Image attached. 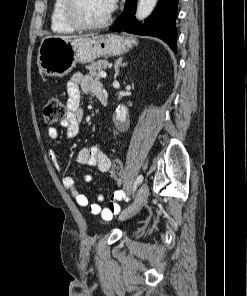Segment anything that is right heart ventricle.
Wrapping results in <instances>:
<instances>
[{
	"mask_svg": "<svg viewBox=\"0 0 247 296\" xmlns=\"http://www.w3.org/2000/svg\"><path fill=\"white\" fill-rule=\"evenodd\" d=\"M65 3L66 0H54L50 16L51 29L59 34H70L76 31L65 19Z\"/></svg>",
	"mask_w": 247,
	"mask_h": 296,
	"instance_id": "right-heart-ventricle-1",
	"label": "right heart ventricle"
}]
</instances>
